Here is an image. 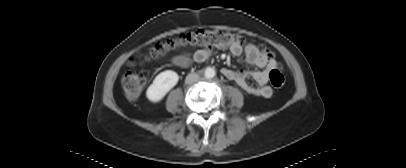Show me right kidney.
I'll return each instance as SVG.
<instances>
[{
    "label": "right kidney",
    "mask_w": 406,
    "mask_h": 168,
    "mask_svg": "<svg viewBox=\"0 0 406 168\" xmlns=\"http://www.w3.org/2000/svg\"><path fill=\"white\" fill-rule=\"evenodd\" d=\"M179 76L172 70L158 74L148 87L146 96L151 102H159L177 84Z\"/></svg>",
    "instance_id": "1"
}]
</instances>
